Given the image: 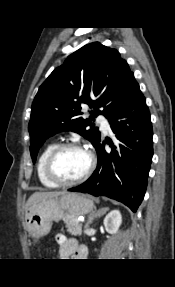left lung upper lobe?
I'll return each instance as SVG.
<instances>
[{"label":"left lung upper lobe","mask_w":175,"mask_h":287,"mask_svg":"<svg viewBox=\"0 0 175 287\" xmlns=\"http://www.w3.org/2000/svg\"><path fill=\"white\" fill-rule=\"evenodd\" d=\"M137 84L116 49L94 42L69 55L43 82L33 101L28 126L33 162L45 140L61 131L79 133L96 148L101 134L91 119L99 114L110 119ZM81 104L93 109L89 119L81 117Z\"/></svg>","instance_id":"left-lung-upper-lobe-1"}]
</instances>
